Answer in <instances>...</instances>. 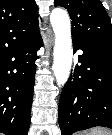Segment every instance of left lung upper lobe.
<instances>
[{"label": "left lung upper lobe", "mask_w": 112, "mask_h": 135, "mask_svg": "<svg viewBox=\"0 0 112 135\" xmlns=\"http://www.w3.org/2000/svg\"><path fill=\"white\" fill-rule=\"evenodd\" d=\"M68 10L72 19V40L112 48V25L100 0H54Z\"/></svg>", "instance_id": "1"}]
</instances>
